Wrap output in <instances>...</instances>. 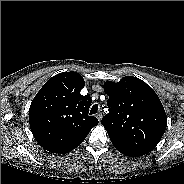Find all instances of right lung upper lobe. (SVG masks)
Segmentation results:
<instances>
[{
  "label": "right lung upper lobe",
  "instance_id": "1",
  "mask_svg": "<svg viewBox=\"0 0 184 184\" xmlns=\"http://www.w3.org/2000/svg\"><path fill=\"white\" fill-rule=\"evenodd\" d=\"M85 81L77 72H63L50 78L34 97L29 108L31 132L45 150L65 154L78 147L92 127L90 95L82 96Z\"/></svg>",
  "mask_w": 184,
  "mask_h": 184
}]
</instances>
